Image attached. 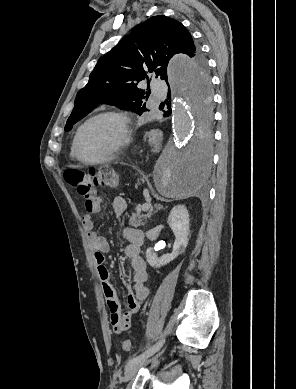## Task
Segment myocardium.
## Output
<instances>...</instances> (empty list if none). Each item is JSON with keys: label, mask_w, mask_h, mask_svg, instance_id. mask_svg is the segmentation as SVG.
I'll list each match as a JSON object with an SVG mask.
<instances>
[{"label": "myocardium", "mask_w": 296, "mask_h": 389, "mask_svg": "<svg viewBox=\"0 0 296 389\" xmlns=\"http://www.w3.org/2000/svg\"><path fill=\"white\" fill-rule=\"evenodd\" d=\"M111 117L115 118L119 121L121 125L122 130V136L120 141L111 149L109 150L105 155H103L100 158L97 159H85L81 156L79 152V143L81 134L84 131V129L92 122L101 119ZM131 140V121L128 115L122 111L119 110H105L102 112H99L90 118H88L77 130L74 142H73V152L76 159L81 161L82 163L94 165V164H100L103 162H106L112 158H114L116 155H118L130 142Z\"/></svg>", "instance_id": "myocardium-1"}]
</instances>
